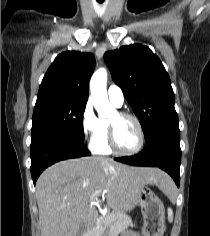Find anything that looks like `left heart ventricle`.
<instances>
[{
    "instance_id": "b2bd125f",
    "label": "left heart ventricle",
    "mask_w": 210,
    "mask_h": 236,
    "mask_svg": "<svg viewBox=\"0 0 210 236\" xmlns=\"http://www.w3.org/2000/svg\"><path fill=\"white\" fill-rule=\"evenodd\" d=\"M110 121L115 127V137L118 146L125 151L133 150L139 142V132L136 123L130 118H121L114 114Z\"/></svg>"
}]
</instances>
